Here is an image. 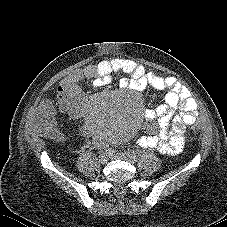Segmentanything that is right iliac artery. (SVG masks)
<instances>
[{
	"label": "right iliac artery",
	"instance_id": "right-iliac-artery-1",
	"mask_svg": "<svg viewBox=\"0 0 227 227\" xmlns=\"http://www.w3.org/2000/svg\"><path fill=\"white\" fill-rule=\"evenodd\" d=\"M105 152H106V154L112 155L114 153V149L108 148V149H106Z\"/></svg>",
	"mask_w": 227,
	"mask_h": 227
}]
</instances>
